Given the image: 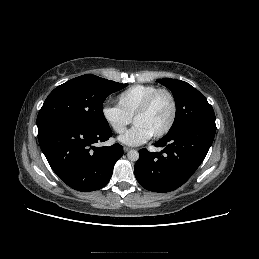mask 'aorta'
I'll list each match as a JSON object with an SVG mask.
<instances>
[{
  "label": "aorta",
  "instance_id": "obj_1",
  "mask_svg": "<svg viewBox=\"0 0 259 259\" xmlns=\"http://www.w3.org/2000/svg\"><path fill=\"white\" fill-rule=\"evenodd\" d=\"M127 157L130 161H137L139 159V153L136 150H130L127 154Z\"/></svg>",
  "mask_w": 259,
  "mask_h": 259
}]
</instances>
